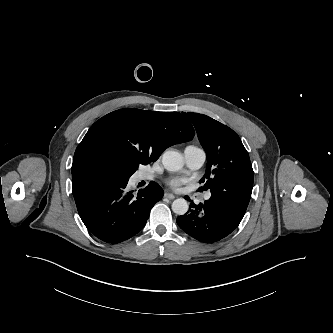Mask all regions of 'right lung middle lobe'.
<instances>
[{
    "label": "right lung middle lobe",
    "mask_w": 333,
    "mask_h": 333,
    "mask_svg": "<svg viewBox=\"0 0 333 333\" xmlns=\"http://www.w3.org/2000/svg\"><path fill=\"white\" fill-rule=\"evenodd\" d=\"M91 170L109 179H123V180H128L129 177L134 173V171L119 173L113 165L103 161L94 162L91 165Z\"/></svg>",
    "instance_id": "obj_1"
}]
</instances>
